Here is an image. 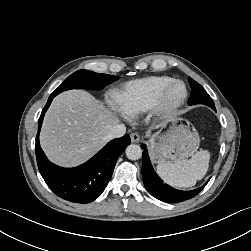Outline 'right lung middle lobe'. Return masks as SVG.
<instances>
[{
	"mask_svg": "<svg viewBox=\"0 0 251 251\" xmlns=\"http://www.w3.org/2000/svg\"><path fill=\"white\" fill-rule=\"evenodd\" d=\"M119 77L95 73L88 70H78L71 74L55 91L59 94L69 89L101 90L106 85L118 80Z\"/></svg>",
	"mask_w": 251,
	"mask_h": 251,
	"instance_id": "dd1d6c3e",
	"label": "right lung middle lobe"
}]
</instances>
